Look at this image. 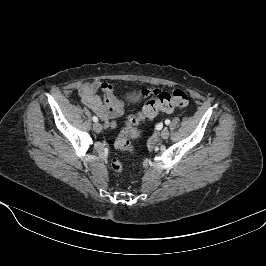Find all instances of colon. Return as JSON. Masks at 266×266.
<instances>
[{
  "label": "colon",
  "instance_id": "5ec220e1",
  "mask_svg": "<svg viewBox=\"0 0 266 266\" xmlns=\"http://www.w3.org/2000/svg\"><path fill=\"white\" fill-rule=\"evenodd\" d=\"M188 105V96L185 91L176 89L172 92L156 91L153 96L149 97L143 105L142 110L136 114L131 115L126 123L125 128L120 132L115 141V147L118 150L133 153V147L129 139V128L137 125L145 118H152L158 112H170L175 108H184ZM111 169L114 173L119 174L123 170V164L114 159L111 162Z\"/></svg>",
  "mask_w": 266,
  "mask_h": 266
}]
</instances>
